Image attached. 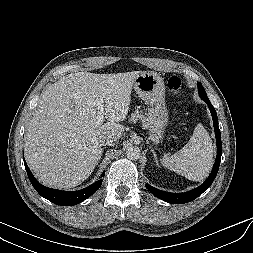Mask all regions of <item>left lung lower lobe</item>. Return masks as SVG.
<instances>
[{
    "mask_svg": "<svg viewBox=\"0 0 253 253\" xmlns=\"http://www.w3.org/2000/svg\"><path fill=\"white\" fill-rule=\"evenodd\" d=\"M204 101L208 104V107L212 115L214 131H215V136H216V141H217V156H216V160H215L212 172L210 176L207 178V180L201 186L185 193H170V192H165V191L156 189L150 185L146 186L147 189L152 194H154L156 197L166 202L173 203V204H183V203L193 201L211 186L212 182L214 181L217 175L220 161H221V155H222L221 133L218 126V118H217L216 110L212 106L209 99L204 100Z\"/></svg>",
    "mask_w": 253,
    "mask_h": 253,
    "instance_id": "0a47b994",
    "label": "left lung lower lobe"
}]
</instances>
